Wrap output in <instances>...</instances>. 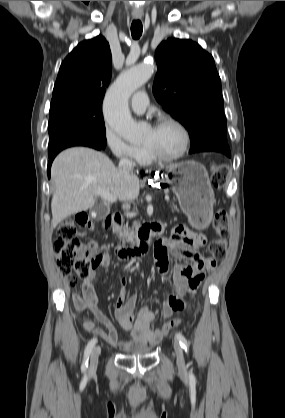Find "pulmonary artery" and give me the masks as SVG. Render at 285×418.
Here are the masks:
<instances>
[{
	"instance_id": "pulmonary-artery-1",
	"label": "pulmonary artery",
	"mask_w": 285,
	"mask_h": 418,
	"mask_svg": "<svg viewBox=\"0 0 285 418\" xmlns=\"http://www.w3.org/2000/svg\"><path fill=\"white\" fill-rule=\"evenodd\" d=\"M131 108L134 112L141 113L148 107V99L144 92H138L133 95L130 101Z\"/></svg>"
}]
</instances>
